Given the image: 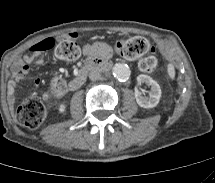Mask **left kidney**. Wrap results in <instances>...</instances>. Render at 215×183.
<instances>
[{"label": "left kidney", "mask_w": 215, "mask_h": 183, "mask_svg": "<svg viewBox=\"0 0 215 183\" xmlns=\"http://www.w3.org/2000/svg\"><path fill=\"white\" fill-rule=\"evenodd\" d=\"M137 83H145L151 87L150 97H145L141 92L135 88V99L137 104L143 108H153L155 107L161 97V88L159 84L153 80L150 76L141 74L137 77Z\"/></svg>", "instance_id": "5707ae66"}]
</instances>
